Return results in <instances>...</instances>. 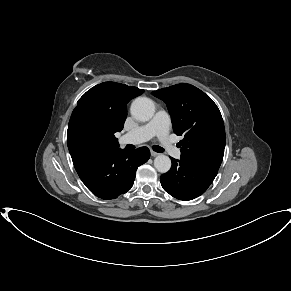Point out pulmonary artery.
Instances as JSON below:
<instances>
[{
    "mask_svg": "<svg viewBox=\"0 0 291 291\" xmlns=\"http://www.w3.org/2000/svg\"><path fill=\"white\" fill-rule=\"evenodd\" d=\"M169 127L170 117L168 113L164 110H159L148 123L122 135L119 141L121 144H139L156 136L171 156L179 158L181 155L180 150L168 137Z\"/></svg>",
    "mask_w": 291,
    "mask_h": 291,
    "instance_id": "e3ab8cb5",
    "label": "pulmonary artery"
}]
</instances>
